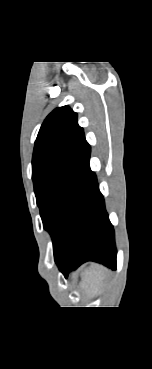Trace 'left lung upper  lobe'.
Listing matches in <instances>:
<instances>
[{"label": "left lung upper lobe", "instance_id": "obj_1", "mask_svg": "<svg viewBox=\"0 0 152 369\" xmlns=\"http://www.w3.org/2000/svg\"><path fill=\"white\" fill-rule=\"evenodd\" d=\"M91 148L77 123V113L63 106L43 122L35 141L32 179L44 228L56 258L70 214L89 165Z\"/></svg>", "mask_w": 152, "mask_h": 369}]
</instances>
